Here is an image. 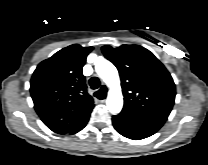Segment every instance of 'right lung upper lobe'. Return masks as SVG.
<instances>
[{"label": "right lung upper lobe", "instance_id": "cb5924a9", "mask_svg": "<svg viewBox=\"0 0 208 165\" xmlns=\"http://www.w3.org/2000/svg\"><path fill=\"white\" fill-rule=\"evenodd\" d=\"M93 47L70 45L42 61L35 69L30 92L43 123L58 134L82 130L94 107L87 93L83 66Z\"/></svg>", "mask_w": 208, "mask_h": 165}]
</instances>
